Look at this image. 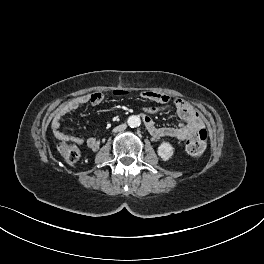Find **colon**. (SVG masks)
<instances>
[{
	"instance_id": "1",
	"label": "colon",
	"mask_w": 264,
	"mask_h": 264,
	"mask_svg": "<svg viewBox=\"0 0 264 264\" xmlns=\"http://www.w3.org/2000/svg\"><path fill=\"white\" fill-rule=\"evenodd\" d=\"M97 98V95L93 97L94 100ZM206 138L207 134L204 129L195 132L185 143L187 153L194 157L202 155L206 148ZM57 150L69 164L77 163L81 157L80 149L76 145L68 143L65 140L58 141Z\"/></svg>"
}]
</instances>
